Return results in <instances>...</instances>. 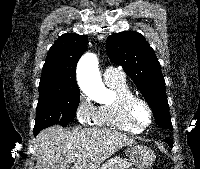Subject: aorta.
I'll list each match as a JSON object with an SVG mask.
<instances>
[{
	"label": "aorta",
	"mask_w": 200,
	"mask_h": 169,
	"mask_svg": "<svg viewBox=\"0 0 200 169\" xmlns=\"http://www.w3.org/2000/svg\"><path fill=\"white\" fill-rule=\"evenodd\" d=\"M77 79L82 91L93 99L102 100L107 92L99 73L97 57L93 53H86L80 59Z\"/></svg>",
	"instance_id": "obj_1"
}]
</instances>
